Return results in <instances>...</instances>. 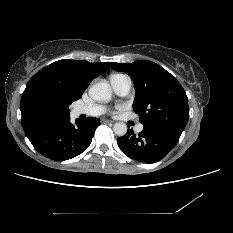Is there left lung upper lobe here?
Segmentation results:
<instances>
[{
	"mask_svg": "<svg viewBox=\"0 0 233 233\" xmlns=\"http://www.w3.org/2000/svg\"><path fill=\"white\" fill-rule=\"evenodd\" d=\"M109 65L132 78L133 110L139 114L143 127L181 135L189 118L188 98L172 74L149 60Z\"/></svg>",
	"mask_w": 233,
	"mask_h": 233,
	"instance_id": "obj_1",
	"label": "left lung upper lobe"
}]
</instances>
